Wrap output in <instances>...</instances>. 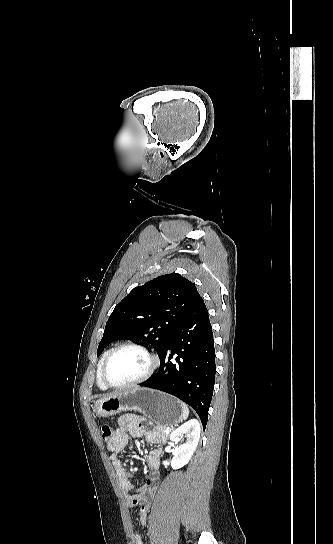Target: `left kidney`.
<instances>
[{
  "label": "left kidney",
  "instance_id": "5707ae66",
  "mask_svg": "<svg viewBox=\"0 0 333 544\" xmlns=\"http://www.w3.org/2000/svg\"><path fill=\"white\" fill-rule=\"evenodd\" d=\"M185 435L186 441L179 445L180 439ZM200 438V424L197 420H190L170 434V441L174 446L171 467L179 469L185 466L191 459Z\"/></svg>",
  "mask_w": 333,
  "mask_h": 544
}]
</instances>
